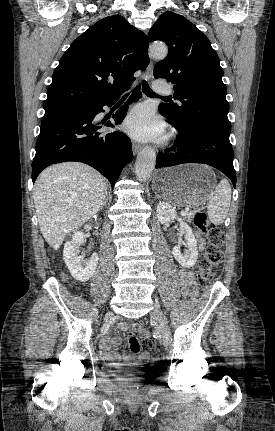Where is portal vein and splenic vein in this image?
<instances>
[{
	"instance_id": "1",
	"label": "portal vein and splenic vein",
	"mask_w": 275,
	"mask_h": 431,
	"mask_svg": "<svg viewBox=\"0 0 275 431\" xmlns=\"http://www.w3.org/2000/svg\"><path fill=\"white\" fill-rule=\"evenodd\" d=\"M180 214H181L182 216L187 215V214H188V209L182 210V211L180 212Z\"/></svg>"
}]
</instances>
